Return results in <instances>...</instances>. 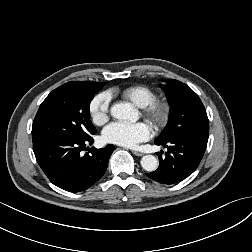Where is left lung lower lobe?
I'll return each mask as SVG.
<instances>
[{
    "label": "left lung lower lobe",
    "mask_w": 252,
    "mask_h": 252,
    "mask_svg": "<svg viewBox=\"0 0 252 252\" xmlns=\"http://www.w3.org/2000/svg\"><path fill=\"white\" fill-rule=\"evenodd\" d=\"M208 142V135L189 133L178 136L166 142L156 141L168 151L165 158L159 156V167L156 171L146 175L162 184H174L191 175L198 167Z\"/></svg>",
    "instance_id": "obj_1"
}]
</instances>
